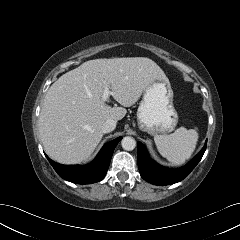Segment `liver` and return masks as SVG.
Instances as JSON below:
<instances>
[{
    "label": "liver",
    "mask_w": 240,
    "mask_h": 240,
    "mask_svg": "<svg viewBox=\"0 0 240 240\" xmlns=\"http://www.w3.org/2000/svg\"><path fill=\"white\" fill-rule=\"evenodd\" d=\"M168 80L146 57L89 60L63 74L44 98L39 133L46 154L62 164L87 160L102 139L108 119L121 120L150 82ZM123 107L102 101L105 86Z\"/></svg>",
    "instance_id": "liver-1"
}]
</instances>
